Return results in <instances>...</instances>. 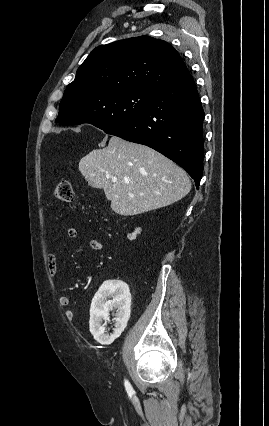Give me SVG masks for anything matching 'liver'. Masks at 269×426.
Here are the masks:
<instances>
[{"instance_id": "6515ba94", "label": "liver", "mask_w": 269, "mask_h": 426, "mask_svg": "<svg viewBox=\"0 0 269 426\" xmlns=\"http://www.w3.org/2000/svg\"><path fill=\"white\" fill-rule=\"evenodd\" d=\"M79 171L90 186L102 188L112 210L124 216L171 205L191 189L187 173L173 161L117 136L110 138L106 148L84 156Z\"/></svg>"}]
</instances>
